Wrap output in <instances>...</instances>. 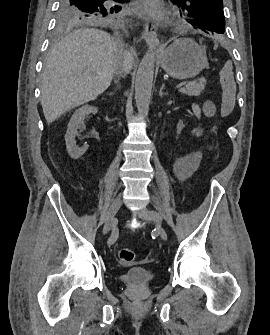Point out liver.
<instances>
[{"label":"liver","mask_w":270,"mask_h":335,"mask_svg":"<svg viewBox=\"0 0 270 335\" xmlns=\"http://www.w3.org/2000/svg\"><path fill=\"white\" fill-rule=\"evenodd\" d=\"M133 52L107 32L80 28L50 50L42 74L41 104L47 124L64 112L96 100L111 84L117 68L133 66Z\"/></svg>","instance_id":"obj_1"}]
</instances>
